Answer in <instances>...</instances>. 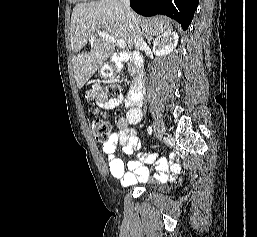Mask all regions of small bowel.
Wrapping results in <instances>:
<instances>
[{
    "label": "small bowel",
    "instance_id": "c3829d8e",
    "mask_svg": "<svg viewBox=\"0 0 257 237\" xmlns=\"http://www.w3.org/2000/svg\"><path fill=\"white\" fill-rule=\"evenodd\" d=\"M101 107L105 109H114L116 107L127 108L126 116L116 121L118 131L113 133L110 139L102 146V152L106 158L110 174L119 179L123 186L131 187L137 183L147 181L149 170L142 163L144 161L155 164L156 172L154 177L159 181H168L180 172L181 168L178 163L170 165L163 157L157 156L156 154L149 156L142 152L141 142L135 129L131 127L141 121L142 110L140 102H133L129 98L119 94L117 97L103 102ZM93 111L94 113H98L100 107L94 108ZM118 147L126 155H130L133 152L137 153L138 161H129L127 164L129 171L125 170V164L117 154Z\"/></svg>",
    "mask_w": 257,
    "mask_h": 237
}]
</instances>
